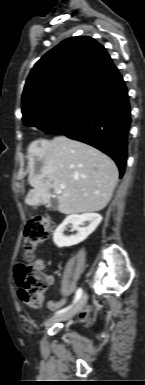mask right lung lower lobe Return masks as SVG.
I'll use <instances>...</instances> for the list:
<instances>
[{
    "label": "right lung lower lobe",
    "mask_w": 145,
    "mask_h": 385,
    "mask_svg": "<svg viewBox=\"0 0 145 385\" xmlns=\"http://www.w3.org/2000/svg\"><path fill=\"white\" fill-rule=\"evenodd\" d=\"M131 109L122 77L95 91L86 105L56 135L87 143L109 155L125 171Z\"/></svg>",
    "instance_id": "obj_1"
}]
</instances>
